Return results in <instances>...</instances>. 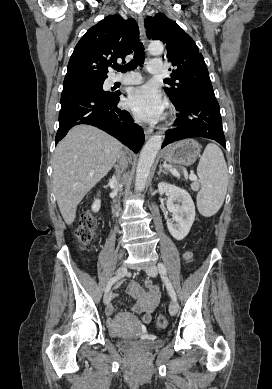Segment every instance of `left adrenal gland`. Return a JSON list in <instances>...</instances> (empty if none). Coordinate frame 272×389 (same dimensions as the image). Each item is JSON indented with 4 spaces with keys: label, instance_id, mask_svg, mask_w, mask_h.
<instances>
[{
    "label": "left adrenal gland",
    "instance_id": "a2214340",
    "mask_svg": "<svg viewBox=\"0 0 272 389\" xmlns=\"http://www.w3.org/2000/svg\"><path fill=\"white\" fill-rule=\"evenodd\" d=\"M161 173L167 174V172H166L165 170H163V167H162V165L160 164V165H159V171H158L157 175L159 176Z\"/></svg>",
    "mask_w": 272,
    "mask_h": 389
}]
</instances>
